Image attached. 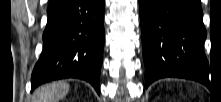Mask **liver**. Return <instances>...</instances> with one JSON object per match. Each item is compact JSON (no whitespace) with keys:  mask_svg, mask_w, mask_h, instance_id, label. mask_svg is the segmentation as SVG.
<instances>
[{"mask_svg":"<svg viewBox=\"0 0 221 102\" xmlns=\"http://www.w3.org/2000/svg\"><path fill=\"white\" fill-rule=\"evenodd\" d=\"M69 85L65 82H53L38 88L32 98V102H59L69 92Z\"/></svg>","mask_w":221,"mask_h":102,"instance_id":"liver-1","label":"liver"}]
</instances>
